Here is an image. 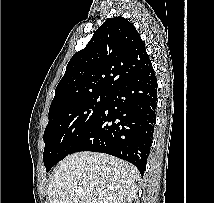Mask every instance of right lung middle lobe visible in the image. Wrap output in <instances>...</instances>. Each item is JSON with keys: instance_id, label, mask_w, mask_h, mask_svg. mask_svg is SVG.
Segmentation results:
<instances>
[{"instance_id": "dd1d6c3e", "label": "right lung middle lobe", "mask_w": 214, "mask_h": 203, "mask_svg": "<svg viewBox=\"0 0 214 203\" xmlns=\"http://www.w3.org/2000/svg\"><path fill=\"white\" fill-rule=\"evenodd\" d=\"M108 101V93H94L49 111L44 131L43 161L46 171L70 154L94 124Z\"/></svg>"}]
</instances>
